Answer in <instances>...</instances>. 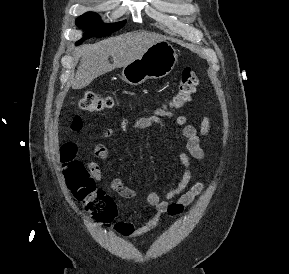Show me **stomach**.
<instances>
[{
  "mask_svg": "<svg viewBox=\"0 0 289 274\" xmlns=\"http://www.w3.org/2000/svg\"><path fill=\"white\" fill-rule=\"evenodd\" d=\"M177 63V53L166 40L150 46L139 58L125 65L122 79L130 85H139L148 79L167 76Z\"/></svg>",
  "mask_w": 289,
  "mask_h": 274,
  "instance_id": "stomach-1",
  "label": "stomach"
}]
</instances>
